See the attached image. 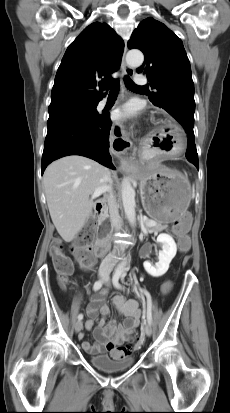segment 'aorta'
Here are the masks:
<instances>
[{"label":"aorta","mask_w":230,"mask_h":413,"mask_svg":"<svg viewBox=\"0 0 230 413\" xmlns=\"http://www.w3.org/2000/svg\"><path fill=\"white\" fill-rule=\"evenodd\" d=\"M144 60L143 53L139 50H130L126 55V62L130 67L136 68L142 65ZM122 203L125 214L131 226L136 224V202H135V190L131 185L130 178L126 177L122 181L121 185ZM125 263L121 265V268Z\"/></svg>","instance_id":"762f6f07"}]
</instances>
